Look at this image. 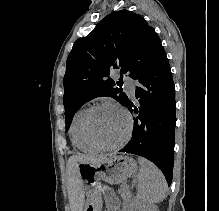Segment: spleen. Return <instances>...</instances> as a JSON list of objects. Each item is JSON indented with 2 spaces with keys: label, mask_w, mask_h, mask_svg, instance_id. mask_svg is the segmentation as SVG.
<instances>
[{
  "label": "spleen",
  "mask_w": 219,
  "mask_h": 211,
  "mask_svg": "<svg viewBox=\"0 0 219 211\" xmlns=\"http://www.w3.org/2000/svg\"><path fill=\"white\" fill-rule=\"evenodd\" d=\"M138 161L141 163V169L137 175L139 201H142V203L162 201L168 187L162 171L152 161H148L144 157H138Z\"/></svg>",
  "instance_id": "1"
}]
</instances>
